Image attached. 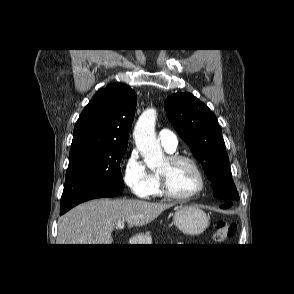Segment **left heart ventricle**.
I'll use <instances>...</instances> for the list:
<instances>
[{"label":"left heart ventricle","mask_w":294,"mask_h":294,"mask_svg":"<svg viewBox=\"0 0 294 294\" xmlns=\"http://www.w3.org/2000/svg\"><path fill=\"white\" fill-rule=\"evenodd\" d=\"M159 172L167 174L171 189L181 195L194 192L199 185V179L194 169L187 163H180L170 167L166 160Z\"/></svg>","instance_id":"obj_1"}]
</instances>
